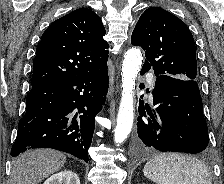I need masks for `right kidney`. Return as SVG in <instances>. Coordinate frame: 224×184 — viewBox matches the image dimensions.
<instances>
[{
  "instance_id": "obj_1",
  "label": "right kidney",
  "mask_w": 224,
  "mask_h": 184,
  "mask_svg": "<svg viewBox=\"0 0 224 184\" xmlns=\"http://www.w3.org/2000/svg\"><path fill=\"white\" fill-rule=\"evenodd\" d=\"M43 184H80V180L76 173L62 171L50 176Z\"/></svg>"
}]
</instances>
